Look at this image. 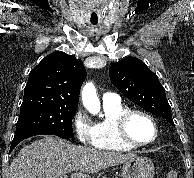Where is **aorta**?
<instances>
[{
  "label": "aorta",
  "mask_w": 194,
  "mask_h": 178,
  "mask_svg": "<svg viewBox=\"0 0 194 178\" xmlns=\"http://www.w3.org/2000/svg\"><path fill=\"white\" fill-rule=\"evenodd\" d=\"M84 107L93 115L100 111V102L96 93V88L92 83H86L81 92Z\"/></svg>",
  "instance_id": "obj_1"
}]
</instances>
